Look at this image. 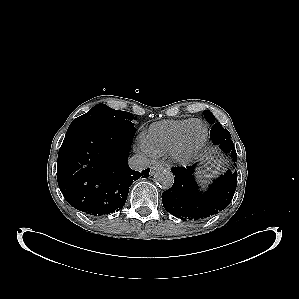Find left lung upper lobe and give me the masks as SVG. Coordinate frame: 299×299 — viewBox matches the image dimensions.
Instances as JSON below:
<instances>
[{
	"mask_svg": "<svg viewBox=\"0 0 299 299\" xmlns=\"http://www.w3.org/2000/svg\"><path fill=\"white\" fill-rule=\"evenodd\" d=\"M207 121L214 124L210 131V138L213 144L218 145L224 141H231V135L228 130L224 129L220 123H215V117L209 111H204Z\"/></svg>",
	"mask_w": 299,
	"mask_h": 299,
	"instance_id": "1",
	"label": "left lung upper lobe"
}]
</instances>
